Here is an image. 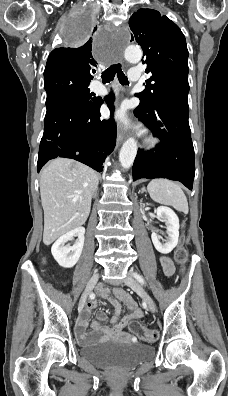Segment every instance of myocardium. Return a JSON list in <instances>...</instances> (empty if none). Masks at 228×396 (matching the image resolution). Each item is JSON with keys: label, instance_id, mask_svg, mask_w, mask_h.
I'll use <instances>...</instances> for the list:
<instances>
[{"label": "myocardium", "instance_id": "f54148a6", "mask_svg": "<svg viewBox=\"0 0 228 396\" xmlns=\"http://www.w3.org/2000/svg\"><path fill=\"white\" fill-rule=\"evenodd\" d=\"M156 143H157V141H156V139L153 138V137H149V138H147V140H146V144H147L149 147L155 146Z\"/></svg>", "mask_w": 228, "mask_h": 396}]
</instances>
